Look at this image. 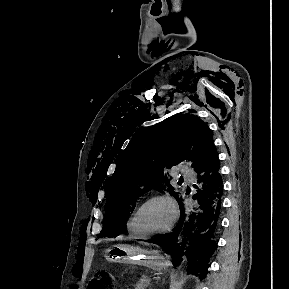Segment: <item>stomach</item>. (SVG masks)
Here are the masks:
<instances>
[{"mask_svg":"<svg viewBox=\"0 0 289 289\" xmlns=\"http://www.w3.org/2000/svg\"><path fill=\"white\" fill-rule=\"evenodd\" d=\"M104 256L108 262L142 265L157 271L163 270L166 263L165 258L159 252L126 244L111 246L105 250Z\"/></svg>","mask_w":289,"mask_h":289,"instance_id":"stomach-1","label":"stomach"}]
</instances>
